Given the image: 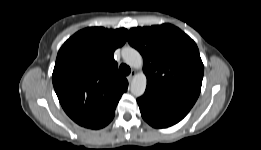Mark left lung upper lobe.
I'll use <instances>...</instances> for the list:
<instances>
[{
	"label": "left lung upper lobe",
	"mask_w": 261,
	"mask_h": 150,
	"mask_svg": "<svg viewBox=\"0 0 261 150\" xmlns=\"http://www.w3.org/2000/svg\"><path fill=\"white\" fill-rule=\"evenodd\" d=\"M128 42L143 56L145 94L194 105L204 66L197 45L187 34L171 24L137 27L130 29Z\"/></svg>",
	"instance_id": "5c2ea615"
}]
</instances>
